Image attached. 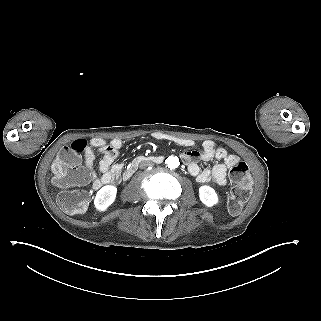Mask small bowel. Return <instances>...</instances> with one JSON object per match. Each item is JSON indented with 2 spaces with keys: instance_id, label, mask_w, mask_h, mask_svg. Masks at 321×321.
<instances>
[{
  "instance_id": "c3829d8e",
  "label": "small bowel",
  "mask_w": 321,
  "mask_h": 321,
  "mask_svg": "<svg viewBox=\"0 0 321 321\" xmlns=\"http://www.w3.org/2000/svg\"><path fill=\"white\" fill-rule=\"evenodd\" d=\"M154 139L168 140L184 147H193L194 141L188 138L167 135L163 133H154ZM123 146L120 139H111L109 141L94 137L89 141V146L84 153L85 167L90 173L92 187L95 190L102 186L117 182L123 170V164L114 163ZM97 149L103 157L99 163L100 176L97 175L94 167L95 153ZM181 158L187 164L188 172L199 183H213L215 185H225L227 183L226 173L228 168L239 162V158L229 154L224 148L217 147L216 144L207 140L203 143L202 151L189 150L182 153ZM215 160L212 168L201 169L197 161Z\"/></svg>"
}]
</instances>
